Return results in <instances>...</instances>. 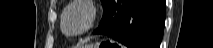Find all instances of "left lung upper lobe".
I'll return each mask as SVG.
<instances>
[{
	"label": "left lung upper lobe",
	"instance_id": "obj_1",
	"mask_svg": "<svg viewBox=\"0 0 213 48\" xmlns=\"http://www.w3.org/2000/svg\"><path fill=\"white\" fill-rule=\"evenodd\" d=\"M103 3V8L105 9L109 3L110 0H101Z\"/></svg>",
	"mask_w": 213,
	"mask_h": 48
}]
</instances>
